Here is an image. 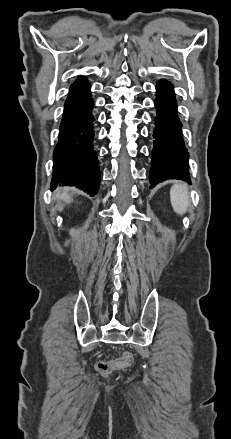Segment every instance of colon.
<instances>
[{"label":"colon","instance_id":"1","mask_svg":"<svg viewBox=\"0 0 231 439\" xmlns=\"http://www.w3.org/2000/svg\"><path fill=\"white\" fill-rule=\"evenodd\" d=\"M133 360L132 353L124 352L122 356L117 359L100 361L96 365V370L103 375H107L113 370L129 367L133 363Z\"/></svg>","mask_w":231,"mask_h":439}]
</instances>
